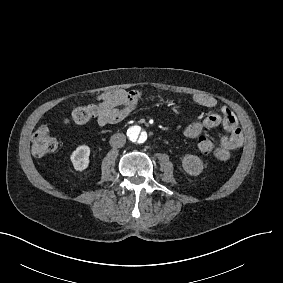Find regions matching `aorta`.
I'll return each instance as SVG.
<instances>
[{
  "label": "aorta",
  "mask_w": 283,
  "mask_h": 283,
  "mask_svg": "<svg viewBox=\"0 0 283 283\" xmlns=\"http://www.w3.org/2000/svg\"><path fill=\"white\" fill-rule=\"evenodd\" d=\"M129 140L136 144H143L148 138V133L138 125L131 126L127 130Z\"/></svg>",
  "instance_id": "762f6f07"
}]
</instances>
